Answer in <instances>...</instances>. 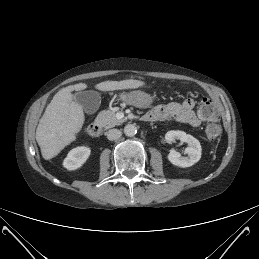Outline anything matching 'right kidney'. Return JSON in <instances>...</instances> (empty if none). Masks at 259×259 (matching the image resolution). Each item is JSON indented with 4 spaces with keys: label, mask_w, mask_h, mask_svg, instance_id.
<instances>
[{
    "label": "right kidney",
    "mask_w": 259,
    "mask_h": 259,
    "mask_svg": "<svg viewBox=\"0 0 259 259\" xmlns=\"http://www.w3.org/2000/svg\"><path fill=\"white\" fill-rule=\"evenodd\" d=\"M91 154V149L86 146H78L73 148L67 154L63 161V167L67 170H76L80 168Z\"/></svg>",
    "instance_id": "right-kidney-1"
}]
</instances>
